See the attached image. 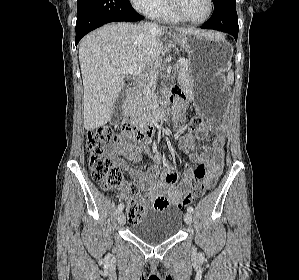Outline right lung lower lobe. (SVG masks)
<instances>
[{
    "instance_id": "98d812e1",
    "label": "right lung lower lobe",
    "mask_w": 299,
    "mask_h": 280,
    "mask_svg": "<svg viewBox=\"0 0 299 280\" xmlns=\"http://www.w3.org/2000/svg\"><path fill=\"white\" fill-rule=\"evenodd\" d=\"M143 19L129 0H77L76 40L109 22Z\"/></svg>"
}]
</instances>
